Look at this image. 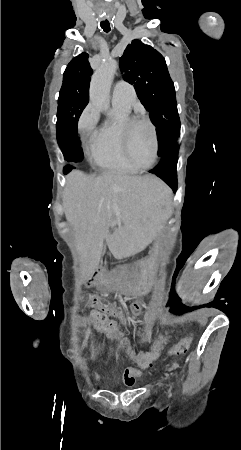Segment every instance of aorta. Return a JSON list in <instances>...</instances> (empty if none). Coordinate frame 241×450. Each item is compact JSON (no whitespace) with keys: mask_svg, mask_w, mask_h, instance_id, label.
Wrapping results in <instances>:
<instances>
[{"mask_svg":"<svg viewBox=\"0 0 241 450\" xmlns=\"http://www.w3.org/2000/svg\"><path fill=\"white\" fill-rule=\"evenodd\" d=\"M118 63L115 60L103 62L94 72L90 82V101L98 109L109 108V92Z\"/></svg>","mask_w":241,"mask_h":450,"instance_id":"762f6f07","label":"aorta"}]
</instances>
